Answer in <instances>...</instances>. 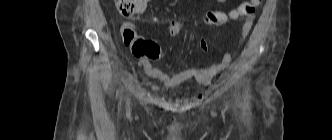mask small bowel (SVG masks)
I'll return each mask as SVG.
<instances>
[{
  "label": "small bowel",
  "mask_w": 332,
  "mask_h": 140,
  "mask_svg": "<svg viewBox=\"0 0 332 140\" xmlns=\"http://www.w3.org/2000/svg\"><path fill=\"white\" fill-rule=\"evenodd\" d=\"M227 0H217L218 3H225ZM253 24V18H247L242 24L241 33L239 37V43H241L249 34ZM200 49L204 52L208 50V42L205 38H202L199 42ZM231 52H226L222 61L219 64H214L201 68H188L177 73H166L159 68H155L151 65L147 58H142L139 61V66L143 69L145 74L153 79H157L163 83L165 89H171L177 87L187 80L194 79L199 86L208 85L211 79L218 73L223 71L231 62ZM150 89L153 92H159L160 87L155 83L149 84Z\"/></svg>",
  "instance_id": "1"
}]
</instances>
